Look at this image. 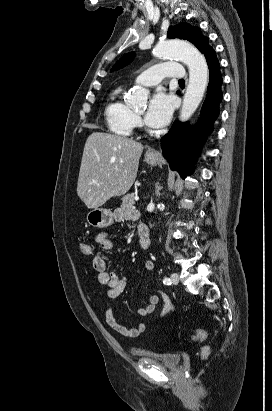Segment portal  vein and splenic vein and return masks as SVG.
I'll list each match as a JSON object with an SVG mask.
<instances>
[{
    "label": "portal vein and splenic vein",
    "instance_id": "18ae733b",
    "mask_svg": "<svg viewBox=\"0 0 272 411\" xmlns=\"http://www.w3.org/2000/svg\"><path fill=\"white\" fill-rule=\"evenodd\" d=\"M134 199H135V201H138V200H139V197H138V196H135Z\"/></svg>",
    "mask_w": 272,
    "mask_h": 411
}]
</instances>
